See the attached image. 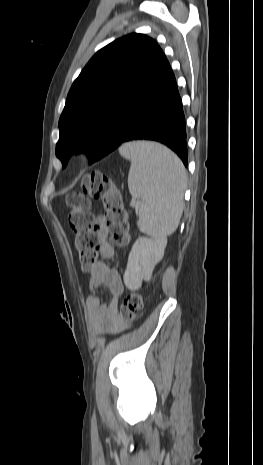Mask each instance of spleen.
Listing matches in <instances>:
<instances>
[{
	"label": "spleen",
	"mask_w": 263,
	"mask_h": 465,
	"mask_svg": "<svg viewBox=\"0 0 263 465\" xmlns=\"http://www.w3.org/2000/svg\"><path fill=\"white\" fill-rule=\"evenodd\" d=\"M119 152L131 161L129 191L142 200L139 230L153 238L172 234L183 212L187 181L183 163L166 147L150 142L126 143Z\"/></svg>",
	"instance_id": "1"
}]
</instances>
